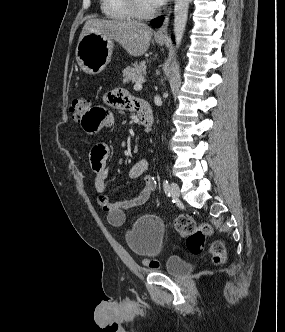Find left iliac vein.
<instances>
[{
	"label": "left iliac vein",
	"mask_w": 285,
	"mask_h": 332,
	"mask_svg": "<svg viewBox=\"0 0 285 332\" xmlns=\"http://www.w3.org/2000/svg\"><path fill=\"white\" fill-rule=\"evenodd\" d=\"M170 194H171L172 198L175 200H178L180 197V188H179L178 184H176L175 182H172L170 184Z\"/></svg>",
	"instance_id": "left-iliac-vein-1"
}]
</instances>
